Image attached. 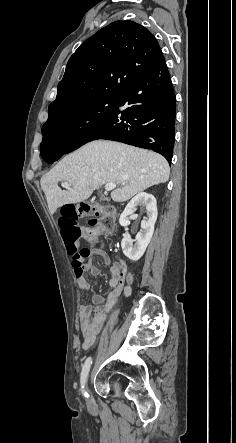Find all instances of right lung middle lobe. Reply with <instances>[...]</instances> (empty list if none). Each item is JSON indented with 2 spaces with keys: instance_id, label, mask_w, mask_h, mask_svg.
<instances>
[{
  "instance_id": "right-lung-middle-lobe-1",
  "label": "right lung middle lobe",
  "mask_w": 236,
  "mask_h": 443,
  "mask_svg": "<svg viewBox=\"0 0 236 443\" xmlns=\"http://www.w3.org/2000/svg\"><path fill=\"white\" fill-rule=\"evenodd\" d=\"M117 98L112 95L96 96L77 107L49 117L42 127L40 149L45 146H67L110 112Z\"/></svg>"
}]
</instances>
